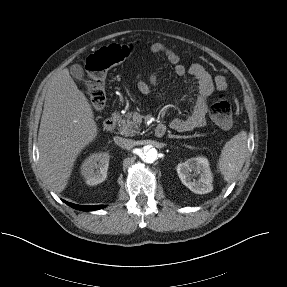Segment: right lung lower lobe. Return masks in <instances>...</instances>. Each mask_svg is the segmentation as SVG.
<instances>
[{
    "label": "right lung lower lobe",
    "mask_w": 287,
    "mask_h": 287,
    "mask_svg": "<svg viewBox=\"0 0 287 287\" xmlns=\"http://www.w3.org/2000/svg\"><path fill=\"white\" fill-rule=\"evenodd\" d=\"M66 204L70 205L71 207L82 210V211H92V210H98L104 207V205H96V206H81V205H76L73 203L65 202Z\"/></svg>",
    "instance_id": "obj_1"
}]
</instances>
